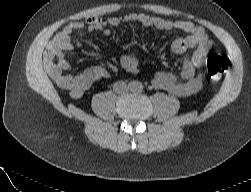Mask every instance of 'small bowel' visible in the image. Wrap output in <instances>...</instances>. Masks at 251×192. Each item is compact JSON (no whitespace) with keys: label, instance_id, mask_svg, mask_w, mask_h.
<instances>
[{"label":"small bowel","instance_id":"1","mask_svg":"<svg viewBox=\"0 0 251 192\" xmlns=\"http://www.w3.org/2000/svg\"><path fill=\"white\" fill-rule=\"evenodd\" d=\"M157 24L165 26V27H182L187 30H192L194 32V36L185 40V41H180L176 42L174 44V50L176 52H182L185 50L187 47L195 46L197 45L198 48L194 53L193 56V63L195 65H200L207 55L208 52V43L206 41L205 35L200 31L195 28H193L189 23H184V22H173V21H164V20H156ZM92 27L95 29H98L100 31H104L103 27L101 25L100 19H95L92 21ZM71 30V27L65 29L63 33L60 35V37L56 41V46L59 49H68L70 47V42H69V32ZM63 62V61H62ZM138 64L137 56L135 52H129L128 54L124 55L122 58V65L127 68V69H134ZM104 74L102 71L93 69L90 70L86 77L81 81V87L86 88L91 85L92 82L95 80L99 79L102 77ZM156 80L157 81H169V82H178L180 81V78L177 75L173 74H167L164 72H159L156 75ZM198 83L195 81L190 82L186 88L192 89L197 87ZM185 89L183 88H172V91L181 94L184 92Z\"/></svg>","mask_w":251,"mask_h":192}]
</instances>
